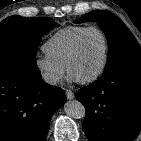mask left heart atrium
Masks as SVG:
<instances>
[{"label": "left heart atrium", "mask_w": 141, "mask_h": 141, "mask_svg": "<svg viewBox=\"0 0 141 141\" xmlns=\"http://www.w3.org/2000/svg\"><path fill=\"white\" fill-rule=\"evenodd\" d=\"M69 80H71V81H77V78L74 75L70 74L69 75Z\"/></svg>", "instance_id": "left-heart-atrium-1"}]
</instances>
